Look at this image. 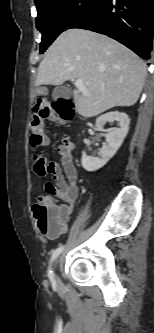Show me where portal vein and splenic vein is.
Instances as JSON below:
<instances>
[{"instance_id":"portal-vein-and-splenic-vein-1","label":"portal vein and splenic vein","mask_w":154,"mask_h":333,"mask_svg":"<svg viewBox=\"0 0 154 333\" xmlns=\"http://www.w3.org/2000/svg\"><path fill=\"white\" fill-rule=\"evenodd\" d=\"M75 86L80 90L82 91L83 93L87 94V89L86 87L84 86L83 84V81L81 79H77L75 81Z\"/></svg>"}]
</instances>
